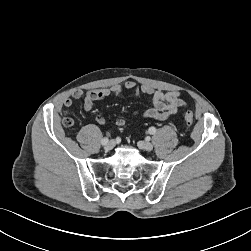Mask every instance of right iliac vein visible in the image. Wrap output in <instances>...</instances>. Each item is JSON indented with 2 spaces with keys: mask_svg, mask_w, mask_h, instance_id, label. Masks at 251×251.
<instances>
[{
  "mask_svg": "<svg viewBox=\"0 0 251 251\" xmlns=\"http://www.w3.org/2000/svg\"><path fill=\"white\" fill-rule=\"evenodd\" d=\"M114 146H115V142L114 141H109L105 146H104V149L106 150V151H110V150H112L113 148H114Z\"/></svg>",
  "mask_w": 251,
  "mask_h": 251,
  "instance_id": "63e3f726",
  "label": "right iliac vein"
}]
</instances>
